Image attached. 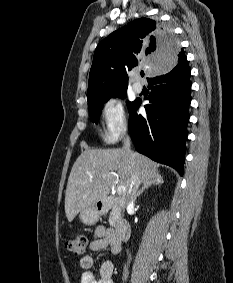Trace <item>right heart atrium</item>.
Wrapping results in <instances>:
<instances>
[{
  "label": "right heart atrium",
  "mask_w": 233,
  "mask_h": 283,
  "mask_svg": "<svg viewBox=\"0 0 233 283\" xmlns=\"http://www.w3.org/2000/svg\"><path fill=\"white\" fill-rule=\"evenodd\" d=\"M102 120V139L107 144L117 142L127 131L128 122L122 102L110 98L104 102L100 112Z\"/></svg>",
  "instance_id": "obj_1"
}]
</instances>
